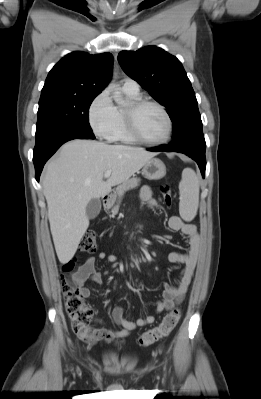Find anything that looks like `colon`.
<instances>
[{"label": "colon", "instance_id": "5ec220e1", "mask_svg": "<svg viewBox=\"0 0 261 399\" xmlns=\"http://www.w3.org/2000/svg\"><path fill=\"white\" fill-rule=\"evenodd\" d=\"M161 195L164 203L167 206H170L172 204V194L169 185L164 184L161 186ZM96 245V234L88 232L81 238L79 249L82 252L92 253L95 251ZM73 268L74 264L68 262L63 266V272L68 273L72 271ZM62 290L65 299L66 312L70 318L73 331L80 338H88L89 324L93 317L92 308L84 302L79 289L71 285L66 279L63 280ZM180 315L181 312L178 308L171 310L162 319L160 324L147 330L139 337L138 344L142 347H148L158 340L168 336L177 325Z\"/></svg>", "mask_w": 261, "mask_h": 399}]
</instances>
